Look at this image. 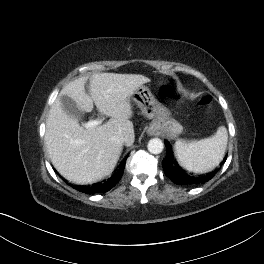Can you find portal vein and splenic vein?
<instances>
[{
	"label": "portal vein and splenic vein",
	"instance_id": "1",
	"mask_svg": "<svg viewBox=\"0 0 264 264\" xmlns=\"http://www.w3.org/2000/svg\"><path fill=\"white\" fill-rule=\"evenodd\" d=\"M102 119H95V120H90L85 124L86 129H91L94 128L102 123Z\"/></svg>",
	"mask_w": 264,
	"mask_h": 264
}]
</instances>
